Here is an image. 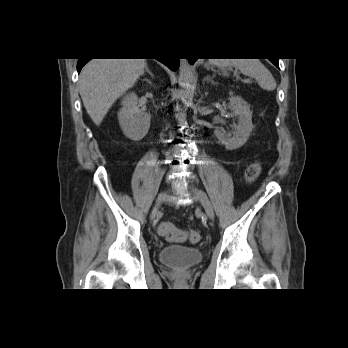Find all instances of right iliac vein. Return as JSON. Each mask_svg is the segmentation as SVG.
I'll return each instance as SVG.
<instances>
[{
  "instance_id": "1",
  "label": "right iliac vein",
  "mask_w": 348,
  "mask_h": 348,
  "mask_svg": "<svg viewBox=\"0 0 348 348\" xmlns=\"http://www.w3.org/2000/svg\"><path fill=\"white\" fill-rule=\"evenodd\" d=\"M166 197V193L165 192H161L158 197H157V200H156V203H155V207L153 209L154 212H156L159 207L161 206V204L163 203L164 199Z\"/></svg>"
}]
</instances>
